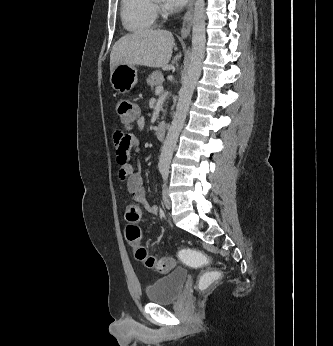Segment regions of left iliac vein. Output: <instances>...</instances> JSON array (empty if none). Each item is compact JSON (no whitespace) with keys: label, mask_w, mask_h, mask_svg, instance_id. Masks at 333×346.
Segmentation results:
<instances>
[{"label":"left iliac vein","mask_w":333,"mask_h":346,"mask_svg":"<svg viewBox=\"0 0 333 346\" xmlns=\"http://www.w3.org/2000/svg\"><path fill=\"white\" fill-rule=\"evenodd\" d=\"M163 201H164L165 207L170 209L172 206V201H171V198L169 196V191H168L166 184H164V186H163Z\"/></svg>","instance_id":"obj_1"}]
</instances>
